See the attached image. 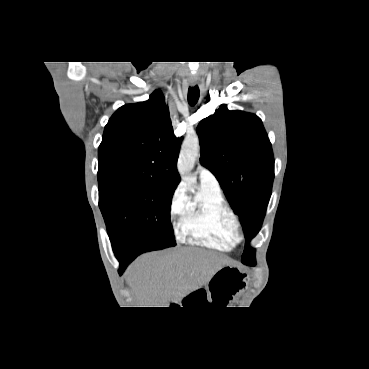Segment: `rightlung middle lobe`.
Wrapping results in <instances>:
<instances>
[{"label":"right lung middle lobe","mask_w":369,"mask_h":369,"mask_svg":"<svg viewBox=\"0 0 369 369\" xmlns=\"http://www.w3.org/2000/svg\"><path fill=\"white\" fill-rule=\"evenodd\" d=\"M99 207L114 252L131 255L176 245L170 223L175 188L138 173L98 170Z\"/></svg>","instance_id":"obj_1"}]
</instances>
